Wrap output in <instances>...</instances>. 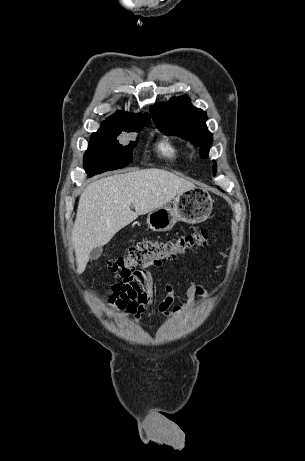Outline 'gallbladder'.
Segmentation results:
<instances>
[{
  "label": "gallbladder",
  "instance_id": "obj_1",
  "mask_svg": "<svg viewBox=\"0 0 305 461\" xmlns=\"http://www.w3.org/2000/svg\"><path fill=\"white\" fill-rule=\"evenodd\" d=\"M102 248L101 247H97L95 249H93L91 252H90V259L91 260H96L98 259L101 254H102Z\"/></svg>",
  "mask_w": 305,
  "mask_h": 461
}]
</instances>
